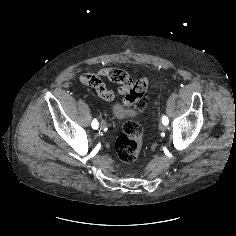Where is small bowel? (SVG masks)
<instances>
[{
  "label": "small bowel",
  "instance_id": "small-bowel-1",
  "mask_svg": "<svg viewBox=\"0 0 236 236\" xmlns=\"http://www.w3.org/2000/svg\"><path fill=\"white\" fill-rule=\"evenodd\" d=\"M98 74L120 85L119 92L122 93L118 110L120 114H127L129 107L142 94L148 84L147 76H140L138 81L133 83L129 74L123 68H101ZM81 82L86 87L94 89L97 94L105 100L114 98V93L106 89L98 75L86 73L81 77Z\"/></svg>",
  "mask_w": 236,
  "mask_h": 236
}]
</instances>
